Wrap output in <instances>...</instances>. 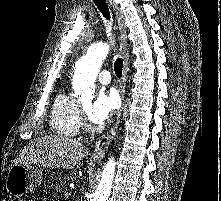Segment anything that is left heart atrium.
<instances>
[{"label": "left heart atrium", "mask_w": 221, "mask_h": 201, "mask_svg": "<svg viewBox=\"0 0 221 201\" xmlns=\"http://www.w3.org/2000/svg\"><path fill=\"white\" fill-rule=\"evenodd\" d=\"M120 101L115 91H101L89 110L91 120L102 124L119 108Z\"/></svg>", "instance_id": "39dd6f15"}]
</instances>
